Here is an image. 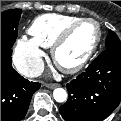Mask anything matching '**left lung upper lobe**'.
Here are the masks:
<instances>
[{
	"label": "left lung upper lobe",
	"mask_w": 121,
	"mask_h": 121,
	"mask_svg": "<svg viewBox=\"0 0 121 121\" xmlns=\"http://www.w3.org/2000/svg\"><path fill=\"white\" fill-rule=\"evenodd\" d=\"M106 50L107 49H121V41L118 36L112 31H108V36L106 38Z\"/></svg>",
	"instance_id": "obj_1"
}]
</instances>
